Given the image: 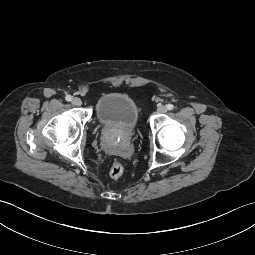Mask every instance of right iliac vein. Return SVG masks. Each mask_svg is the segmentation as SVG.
Masks as SVG:
<instances>
[{
  "mask_svg": "<svg viewBox=\"0 0 255 255\" xmlns=\"http://www.w3.org/2000/svg\"><path fill=\"white\" fill-rule=\"evenodd\" d=\"M72 104L75 105V106H80L82 104V101H81L80 98L75 97L72 100Z\"/></svg>",
  "mask_w": 255,
  "mask_h": 255,
  "instance_id": "1",
  "label": "right iliac vein"
}]
</instances>
